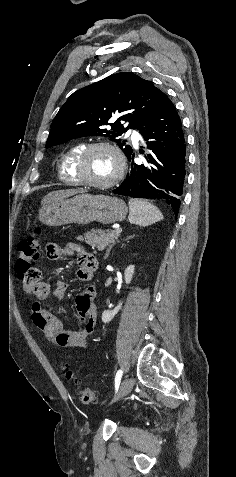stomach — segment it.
<instances>
[{
    "mask_svg": "<svg viewBox=\"0 0 236 477\" xmlns=\"http://www.w3.org/2000/svg\"><path fill=\"white\" fill-rule=\"evenodd\" d=\"M126 214L127 206L119 198L81 193L70 199L42 207L39 220L49 226L70 223L86 225L93 221L109 225L123 221Z\"/></svg>",
    "mask_w": 236,
    "mask_h": 477,
    "instance_id": "0dacf381",
    "label": "stomach"
}]
</instances>
